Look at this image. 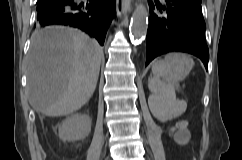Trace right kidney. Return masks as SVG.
<instances>
[{"label":"right kidney","instance_id":"obj_1","mask_svg":"<svg viewBox=\"0 0 242 160\" xmlns=\"http://www.w3.org/2000/svg\"><path fill=\"white\" fill-rule=\"evenodd\" d=\"M92 120L87 114H74L59 126V137L63 141L85 139L91 132Z\"/></svg>","mask_w":242,"mask_h":160}]
</instances>
